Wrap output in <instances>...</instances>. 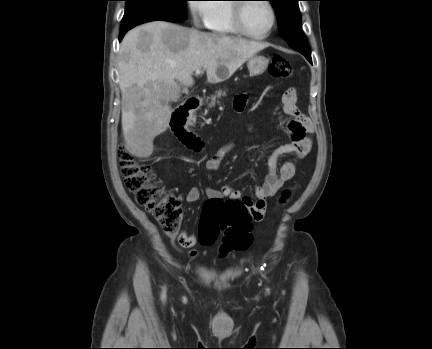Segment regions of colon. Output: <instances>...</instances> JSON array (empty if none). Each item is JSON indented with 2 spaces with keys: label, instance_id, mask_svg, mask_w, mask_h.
Segmentation results:
<instances>
[{
  "label": "colon",
  "instance_id": "5ec220e1",
  "mask_svg": "<svg viewBox=\"0 0 432 349\" xmlns=\"http://www.w3.org/2000/svg\"><path fill=\"white\" fill-rule=\"evenodd\" d=\"M268 70L276 78L292 74L290 62L281 55L273 56ZM118 158L125 185L136 202L156 218L167 235L177 234L182 219L180 199L155 183L152 167L139 163L125 146L120 147ZM291 193L290 189L284 190L280 202H286ZM252 221L248 205L241 200H208L200 222L199 240L203 245H211L222 233V256L245 250L252 242Z\"/></svg>",
  "mask_w": 432,
  "mask_h": 349
}]
</instances>
